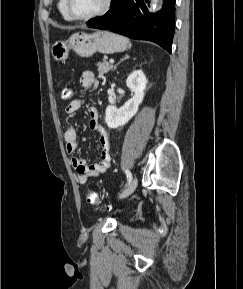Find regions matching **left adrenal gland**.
I'll return each mask as SVG.
<instances>
[{
  "mask_svg": "<svg viewBox=\"0 0 243 289\" xmlns=\"http://www.w3.org/2000/svg\"><path fill=\"white\" fill-rule=\"evenodd\" d=\"M129 55H125L115 66H114V69H116L117 65H119L122 61L126 60V59H129Z\"/></svg>",
  "mask_w": 243,
  "mask_h": 289,
  "instance_id": "obj_1",
  "label": "left adrenal gland"
}]
</instances>
